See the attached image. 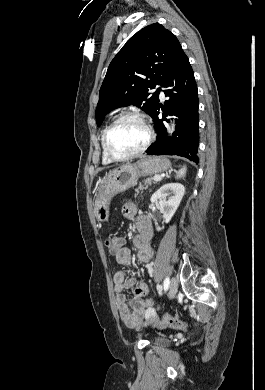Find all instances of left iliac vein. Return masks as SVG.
Listing matches in <instances>:
<instances>
[{"mask_svg": "<svg viewBox=\"0 0 265 390\" xmlns=\"http://www.w3.org/2000/svg\"><path fill=\"white\" fill-rule=\"evenodd\" d=\"M177 290H178V280L177 278L173 277L169 284V297L174 298L177 293ZM148 324L149 321L144 323L145 326Z\"/></svg>", "mask_w": 265, "mask_h": 390, "instance_id": "left-iliac-vein-1", "label": "left iliac vein"}]
</instances>
